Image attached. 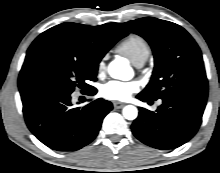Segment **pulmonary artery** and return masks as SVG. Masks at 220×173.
Masks as SVG:
<instances>
[{
  "label": "pulmonary artery",
  "instance_id": "pulmonary-artery-1",
  "mask_svg": "<svg viewBox=\"0 0 220 173\" xmlns=\"http://www.w3.org/2000/svg\"><path fill=\"white\" fill-rule=\"evenodd\" d=\"M144 63H145V60H140V61H138V62L135 63V66L138 67V68H140V67H142V66L144 65ZM160 103H161V102H159V104H160Z\"/></svg>",
  "mask_w": 220,
  "mask_h": 173
}]
</instances>
